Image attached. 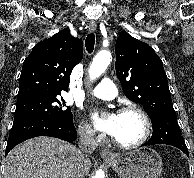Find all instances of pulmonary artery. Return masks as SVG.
<instances>
[{
    "label": "pulmonary artery",
    "instance_id": "pulmonary-artery-1",
    "mask_svg": "<svg viewBox=\"0 0 194 178\" xmlns=\"http://www.w3.org/2000/svg\"><path fill=\"white\" fill-rule=\"evenodd\" d=\"M91 95L103 100H112L117 95L114 82L109 78H104L98 86L91 92Z\"/></svg>",
    "mask_w": 194,
    "mask_h": 178
}]
</instances>
